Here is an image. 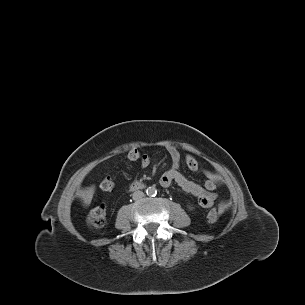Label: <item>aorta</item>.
Returning a JSON list of instances; mask_svg holds the SVG:
<instances>
[{
  "instance_id": "1",
  "label": "aorta",
  "mask_w": 305,
  "mask_h": 305,
  "mask_svg": "<svg viewBox=\"0 0 305 305\" xmlns=\"http://www.w3.org/2000/svg\"><path fill=\"white\" fill-rule=\"evenodd\" d=\"M146 193L148 196H155L157 193V190L154 187H148L146 189Z\"/></svg>"
}]
</instances>
